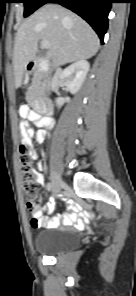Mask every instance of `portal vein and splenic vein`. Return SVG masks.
Wrapping results in <instances>:
<instances>
[{
  "label": "portal vein and splenic vein",
  "instance_id": "1",
  "mask_svg": "<svg viewBox=\"0 0 136 296\" xmlns=\"http://www.w3.org/2000/svg\"><path fill=\"white\" fill-rule=\"evenodd\" d=\"M41 47L44 48V49H49L50 48V43L46 40H43L41 42Z\"/></svg>",
  "mask_w": 136,
  "mask_h": 296
}]
</instances>
